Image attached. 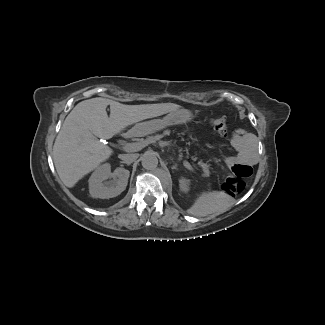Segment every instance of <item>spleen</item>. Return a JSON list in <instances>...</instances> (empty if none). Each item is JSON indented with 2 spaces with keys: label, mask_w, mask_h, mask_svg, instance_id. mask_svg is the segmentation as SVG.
Here are the masks:
<instances>
[{
  "label": "spleen",
  "mask_w": 325,
  "mask_h": 325,
  "mask_svg": "<svg viewBox=\"0 0 325 325\" xmlns=\"http://www.w3.org/2000/svg\"><path fill=\"white\" fill-rule=\"evenodd\" d=\"M231 205V199L221 191L203 192L188 209L194 216H207L226 211Z\"/></svg>",
  "instance_id": "obj_1"
}]
</instances>
